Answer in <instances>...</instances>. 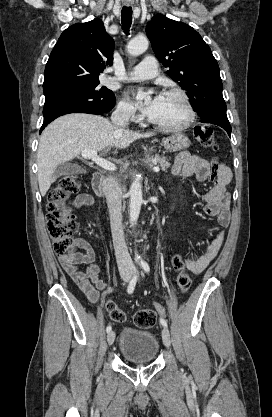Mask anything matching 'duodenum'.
<instances>
[{
    "instance_id": "1",
    "label": "duodenum",
    "mask_w": 272,
    "mask_h": 417,
    "mask_svg": "<svg viewBox=\"0 0 272 417\" xmlns=\"http://www.w3.org/2000/svg\"><path fill=\"white\" fill-rule=\"evenodd\" d=\"M103 183H104V175L103 173L97 171L93 174V178H92V188L93 191L97 194V195H102L103 194Z\"/></svg>"
}]
</instances>
